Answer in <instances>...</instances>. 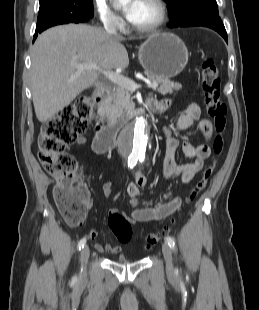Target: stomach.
<instances>
[{
	"label": "stomach",
	"mask_w": 259,
	"mask_h": 310,
	"mask_svg": "<svg viewBox=\"0 0 259 310\" xmlns=\"http://www.w3.org/2000/svg\"><path fill=\"white\" fill-rule=\"evenodd\" d=\"M138 58L147 74L169 79L183 71L188 62V51L176 35L158 33L140 46Z\"/></svg>",
	"instance_id": "obj_1"
}]
</instances>
